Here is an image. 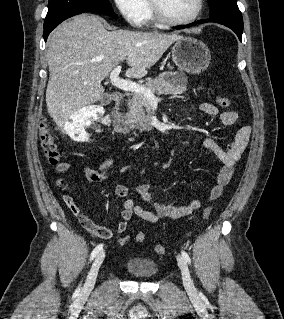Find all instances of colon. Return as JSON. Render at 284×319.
Instances as JSON below:
<instances>
[{"label":"colon","instance_id":"obj_1","mask_svg":"<svg viewBox=\"0 0 284 319\" xmlns=\"http://www.w3.org/2000/svg\"><path fill=\"white\" fill-rule=\"evenodd\" d=\"M217 103L222 108H228L231 105L230 100L224 96H218ZM39 137H40L41 146L46 158L52 165H55L58 162L60 155H59L54 137L51 134V132L48 130L47 124L45 122H42L40 126ZM211 212H212L211 207L205 208L202 214L203 219H208L211 215ZM135 239L137 242H143L145 240V234L143 232H138L135 236ZM128 240L129 238L125 236L120 238L118 240V243L123 246L127 244ZM155 251L158 254H163L165 252V247L162 244H158L155 247Z\"/></svg>","mask_w":284,"mask_h":319}]
</instances>
